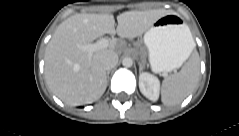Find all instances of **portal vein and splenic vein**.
<instances>
[{
    "mask_svg": "<svg viewBox=\"0 0 239 136\" xmlns=\"http://www.w3.org/2000/svg\"><path fill=\"white\" fill-rule=\"evenodd\" d=\"M109 40L108 39H101L95 43H88L85 45L80 46V49L88 52L89 56L91 57L92 53L99 49H104L109 46Z\"/></svg>",
    "mask_w": 239,
    "mask_h": 136,
    "instance_id": "obj_1",
    "label": "portal vein and splenic vein"
}]
</instances>
